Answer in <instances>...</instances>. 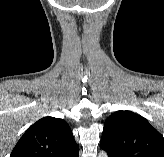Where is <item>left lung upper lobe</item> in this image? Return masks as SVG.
Listing matches in <instances>:
<instances>
[{"instance_id":"5c2ea615","label":"left lung upper lobe","mask_w":164,"mask_h":157,"mask_svg":"<svg viewBox=\"0 0 164 157\" xmlns=\"http://www.w3.org/2000/svg\"><path fill=\"white\" fill-rule=\"evenodd\" d=\"M100 143L118 157H164L163 136L144 117L128 110L107 118Z\"/></svg>"}]
</instances>
